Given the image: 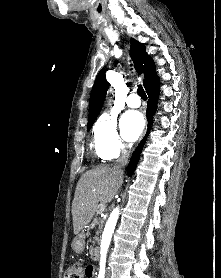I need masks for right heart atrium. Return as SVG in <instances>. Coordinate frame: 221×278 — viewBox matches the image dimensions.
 I'll use <instances>...</instances> for the list:
<instances>
[{
    "label": "right heart atrium",
    "instance_id": "1",
    "mask_svg": "<svg viewBox=\"0 0 221 278\" xmlns=\"http://www.w3.org/2000/svg\"><path fill=\"white\" fill-rule=\"evenodd\" d=\"M94 144L96 150L106 160L118 158L127 150L118 129L117 120L111 115H102L94 127Z\"/></svg>",
    "mask_w": 221,
    "mask_h": 278
}]
</instances>
